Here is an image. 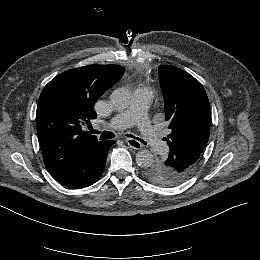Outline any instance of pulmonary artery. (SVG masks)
I'll return each instance as SVG.
<instances>
[{
    "label": "pulmonary artery",
    "mask_w": 260,
    "mask_h": 260,
    "mask_svg": "<svg viewBox=\"0 0 260 260\" xmlns=\"http://www.w3.org/2000/svg\"><path fill=\"white\" fill-rule=\"evenodd\" d=\"M150 102L151 95L148 91H137L127 105L113 115L109 126L113 130H119L126 128L131 123H137L139 132L148 148L154 154L164 155L167 152V145L158 139V134L150 123L149 112L144 109Z\"/></svg>",
    "instance_id": "1"
}]
</instances>
